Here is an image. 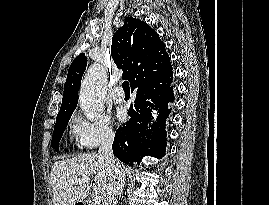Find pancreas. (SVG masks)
Instances as JSON below:
<instances>
[{
    "label": "pancreas",
    "instance_id": "cf45deb5",
    "mask_svg": "<svg viewBox=\"0 0 269 205\" xmlns=\"http://www.w3.org/2000/svg\"><path fill=\"white\" fill-rule=\"evenodd\" d=\"M90 205H95L94 203H91Z\"/></svg>",
    "mask_w": 269,
    "mask_h": 205
}]
</instances>
